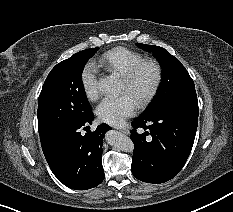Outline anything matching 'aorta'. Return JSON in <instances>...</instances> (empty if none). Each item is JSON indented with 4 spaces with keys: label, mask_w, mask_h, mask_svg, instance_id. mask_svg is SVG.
<instances>
[{
    "label": "aorta",
    "mask_w": 233,
    "mask_h": 212,
    "mask_svg": "<svg viewBox=\"0 0 233 212\" xmlns=\"http://www.w3.org/2000/svg\"><path fill=\"white\" fill-rule=\"evenodd\" d=\"M97 86L102 92L112 95H116L120 90L119 80L114 76L101 78ZM106 141L120 151L133 152L134 150V143L132 140L118 131L112 130L107 132Z\"/></svg>",
    "instance_id": "762f6f07"
}]
</instances>
